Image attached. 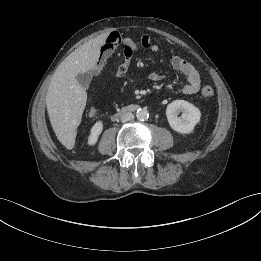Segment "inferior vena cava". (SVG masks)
Wrapping results in <instances>:
<instances>
[{
	"label": "inferior vena cava",
	"instance_id": "obj_1",
	"mask_svg": "<svg viewBox=\"0 0 261 261\" xmlns=\"http://www.w3.org/2000/svg\"><path fill=\"white\" fill-rule=\"evenodd\" d=\"M134 119V115L131 112H125L121 115V122L125 123Z\"/></svg>",
	"mask_w": 261,
	"mask_h": 261
}]
</instances>
